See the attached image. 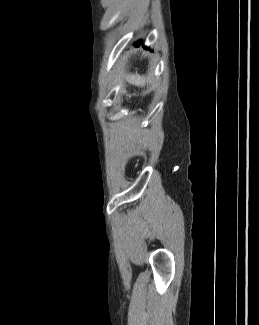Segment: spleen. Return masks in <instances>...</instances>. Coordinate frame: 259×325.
Masks as SVG:
<instances>
[{
  "instance_id": "3e777b00",
  "label": "spleen",
  "mask_w": 259,
  "mask_h": 325,
  "mask_svg": "<svg viewBox=\"0 0 259 325\" xmlns=\"http://www.w3.org/2000/svg\"><path fill=\"white\" fill-rule=\"evenodd\" d=\"M128 81L135 86L145 85V79L138 74L129 76Z\"/></svg>"
}]
</instances>
